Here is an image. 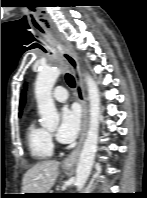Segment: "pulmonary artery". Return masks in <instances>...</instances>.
I'll return each instance as SVG.
<instances>
[{"label": "pulmonary artery", "instance_id": "pulmonary-artery-1", "mask_svg": "<svg viewBox=\"0 0 147 198\" xmlns=\"http://www.w3.org/2000/svg\"><path fill=\"white\" fill-rule=\"evenodd\" d=\"M52 96L58 102H65L68 98V93L64 87L58 86L53 90Z\"/></svg>", "mask_w": 147, "mask_h": 198}]
</instances>
